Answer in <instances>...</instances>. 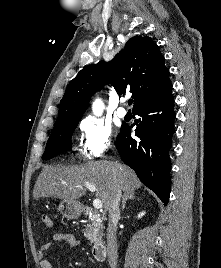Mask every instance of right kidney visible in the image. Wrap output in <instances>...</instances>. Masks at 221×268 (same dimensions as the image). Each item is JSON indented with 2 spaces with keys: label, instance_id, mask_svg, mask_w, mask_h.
Wrapping results in <instances>:
<instances>
[{
  "label": "right kidney",
  "instance_id": "1",
  "mask_svg": "<svg viewBox=\"0 0 221 268\" xmlns=\"http://www.w3.org/2000/svg\"><path fill=\"white\" fill-rule=\"evenodd\" d=\"M144 215H145V212H141V213L138 214V218H141V217H143Z\"/></svg>",
  "mask_w": 221,
  "mask_h": 268
}]
</instances>
